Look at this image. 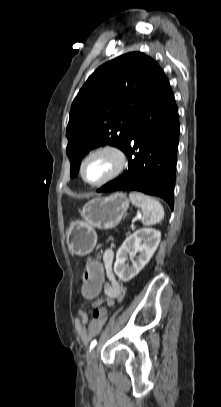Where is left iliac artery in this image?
Returning <instances> with one entry per match:
<instances>
[{
  "instance_id": "obj_1",
  "label": "left iliac artery",
  "mask_w": 221,
  "mask_h": 407,
  "mask_svg": "<svg viewBox=\"0 0 221 407\" xmlns=\"http://www.w3.org/2000/svg\"><path fill=\"white\" fill-rule=\"evenodd\" d=\"M96 344H97V341H96V340H93V341L91 342V344H90L89 351H91V350L96 346Z\"/></svg>"
}]
</instances>
